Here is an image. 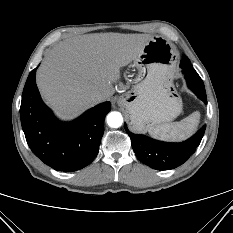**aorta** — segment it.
Listing matches in <instances>:
<instances>
[{
  "label": "aorta",
  "instance_id": "762f6f07",
  "mask_svg": "<svg viewBox=\"0 0 233 233\" xmlns=\"http://www.w3.org/2000/svg\"><path fill=\"white\" fill-rule=\"evenodd\" d=\"M107 123L112 128H118L123 123V117L121 113L113 111L107 115Z\"/></svg>",
  "mask_w": 233,
  "mask_h": 233
}]
</instances>
